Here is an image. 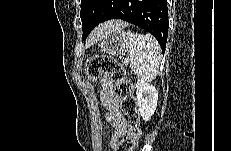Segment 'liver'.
<instances>
[{
  "mask_svg": "<svg viewBox=\"0 0 231 151\" xmlns=\"http://www.w3.org/2000/svg\"><path fill=\"white\" fill-rule=\"evenodd\" d=\"M126 26V23L119 20H112L105 22L98 26L90 35L88 44L97 42L102 39L106 34L112 31H120Z\"/></svg>",
  "mask_w": 231,
  "mask_h": 151,
  "instance_id": "6515ba94",
  "label": "liver"
}]
</instances>
